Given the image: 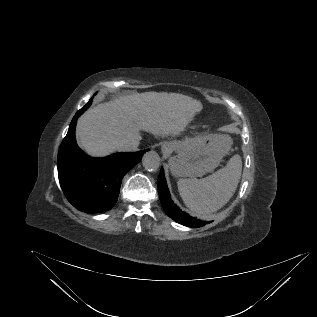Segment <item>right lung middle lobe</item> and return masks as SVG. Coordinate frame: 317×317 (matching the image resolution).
I'll return each mask as SVG.
<instances>
[{
	"label": "right lung middle lobe",
	"instance_id": "1",
	"mask_svg": "<svg viewBox=\"0 0 317 317\" xmlns=\"http://www.w3.org/2000/svg\"><path fill=\"white\" fill-rule=\"evenodd\" d=\"M91 103H92V99H90V101L80 110L85 111L91 105Z\"/></svg>",
	"mask_w": 317,
	"mask_h": 317
}]
</instances>
